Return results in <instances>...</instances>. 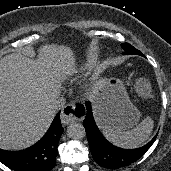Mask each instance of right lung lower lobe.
<instances>
[{
  "label": "right lung lower lobe",
  "mask_w": 171,
  "mask_h": 171,
  "mask_svg": "<svg viewBox=\"0 0 171 171\" xmlns=\"http://www.w3.org/2000/svg\"><path fill=\"white\" fill-rule=\"evenodd\" d=\"M63 131L58 113L46 134L33 146L22 151L0 149V162L16 171H50L55 166Z\"/></svg>",
  "instance_id": "98d812e1"
}]
</instances>
